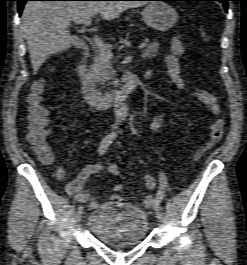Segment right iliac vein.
Listing matches in <instances>:
<instances>
[{
  "instance_id": "right-iliac-vein-1",
  "label": "right iliac vein",
  "mask_w": 247,
  "mask_h": 265,
  "mask_svg": "<svg viewBox=\"0 0 247 265\" xmlns=\"http://www.w3.org/2000/svg\"><path fill=\"white\" fill-rule=\"evenodd\" d=\"M82 215H83V208L82 207H79L76 211V220L77 222H79L82 218Z\"/></svg>"
}]
</instances>
